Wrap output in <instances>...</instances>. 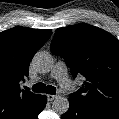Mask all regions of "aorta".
<instances>
[{"instance_id": "762f6f07", "label": "aorta", "mask_w": 119, "mask_h": 119, "mask_svg": "<svg viewBox=\"0 0 119 119\" xmlns=\"http://www.w3.org/2000/svg\"><path fill=\"white\" fill-rule=\"evenodd\" d=\"M35 68L39 73H48L54 64L52 55L47 51H39L32 60ZM52 109L57 114H64L69 109V101L66 97L58 96L52 102Z\"/></svg>"}]
</instances>
